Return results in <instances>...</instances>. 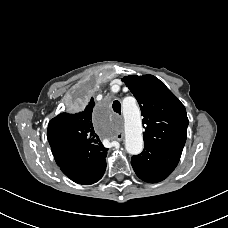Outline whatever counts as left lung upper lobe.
Segmentation results:
<instances>
[{
    "mask_svg": "<svg viewBox=\"0 0 228 228\" xmlns=\"http://www.w3.org/2000/svg\"><path fill=\"white\" fill-rule=\"evenodd\" d=\"M122 81L140 105L144 117V145L182 151L189 121L179 99L152 75H130L125 76Z\"/></svg>",
    "mask_w": 228,
    "mask_h": 228,
    "instance_id": "obj_1",
    "label": "left lung upper lobe"
}]
</instances>
